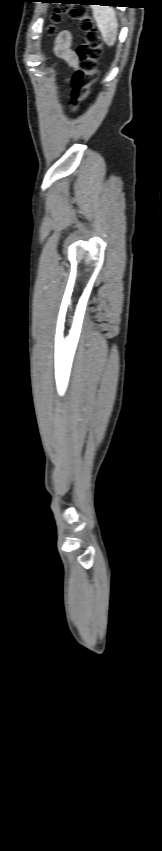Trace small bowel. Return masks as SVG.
I'll list each match as a JSON object with an SVG mask.
<instances>
[{
    "instance_id": "small-bowel-1",
    "label": "small bowel",
    "mask_w": 162,
    "mask_h": 851,
    "mask_svg": "<svg viewBox=\"0 0 162 851\" xmlns=\"http://www.w3.org/2000/svg\"><path fill=\"white\" fill-rule=\"evenodd\" d=\"M73 38L70 32L64 31L58 35L54 43V52L60 59L67 62L72 68L78 69L79 60L72 50Z\"/></svg>"
}]
</instances>
